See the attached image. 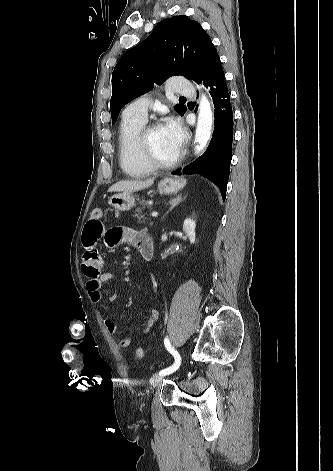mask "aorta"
Instances as JSON below:
<instances>
[{"label":"aorta","instance_id":"1","mask_svg":"<svg viewBox=\"0 0 333 471\" xmlns=\"http://www.w3.org/2000/svg\"><path fill=\"white\" fill-rule=\"evenodd\" d=\"M212 124L213 114L210 103L205 96H202L198 109L197 128L194 139L195 154H199L206 146L211 135Z\"/></svg>","mask_w":333,"mask_h":471}]
</instances>
